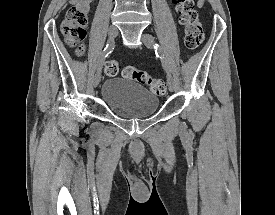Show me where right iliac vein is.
<instances>
[{"instance_id": "63e3f726", "label": "right iliac vein", "mask_w": 275, "mask_h": 215, "mask_svg": "<svg viewBox=\"0 0 275 215\" xmlns=\"http://www.w3.org/2000/svg\"><path fill=\"white\" fill-rule=\"evenodd\" d=\"M109 39L110 41H113V39L117 36L118 34V30L116 28V26H110L109 28ZM101 81V69H97L94 77H93V86L94 87H97L98 84L100 83Z\"/></svg>"}]
</instances>
